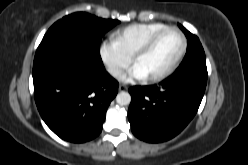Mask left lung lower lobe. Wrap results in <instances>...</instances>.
Segmentation results:
<instances>
[{
  "label": "left lung lower lobe",
  "mask_w": 248,
  "mask_h": 165,
  "mask_svg": "<svg viewBox=\"0 0 248 165\" xmlns=\"http://www.w3.org/2000/svg\"><path fill=\"white\" fill-rule=\"evenodd\" d=\"M206 60L196 61L158 85L134 86L128 119L133 134L163 142L179 134L196 114L207 83Z\"/></svg>",
  "instance_id": "obj_1"
}]
</instances>
